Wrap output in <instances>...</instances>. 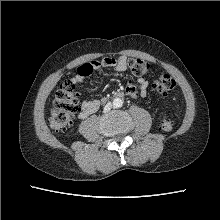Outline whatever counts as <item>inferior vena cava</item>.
Segmentation results:
<instances>
[{
  "label": "inferior vena cava",
  "mask_w": 220,
  "mask_h": 220,
  "mask_svg": "<svg viewBox=\"0 0 220 220\" xmlns=\"http://www.w3.org/2000/svg\"><path fill=\"white\" fill-rule=\"evenodd\" d=\"M112 108V104L111 103H107L103 109V112H109Z\"/></svg>",
  "instance_id": "obj_1"
}]
</instances>
